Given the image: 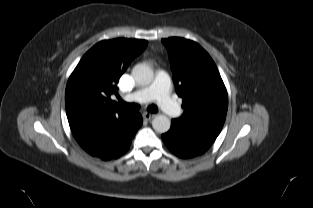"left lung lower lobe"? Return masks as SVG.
<instances>
[{
  "label": "left lung lower lobe",
  "mask_w": 313,
  "mask_h": 208,
  "mask_svg": "<svg viewBox=\"0 0 313 208\" xmlns=\"http://www.w3.org/2000/svg\"><path fill=\"white\" fill-rule=\"evenodd\" d=\"M217 136L195 133L186 130L174 120L170 130L162 135L168 149L181 158H192L206 152Z\"/></svg>",
  "instance_id": "0a47b994"
}]
</instances>
